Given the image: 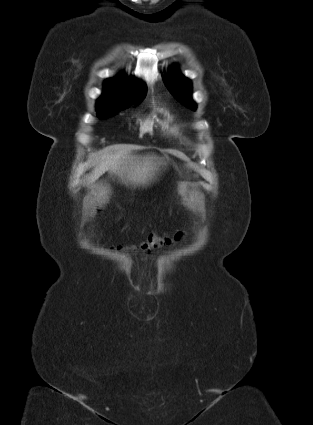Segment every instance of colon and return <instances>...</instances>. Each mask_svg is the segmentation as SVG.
<instances>
[{"label": "colon", "mask_w": 313, "mask_h": 425, "mask_svg": "<svg viewBox=\"0 0 313 425\" xmlns=\"http://www.w3.org/2000/svg\"><path fill=\"white\" fill-rule=\"evenodd\" d=\"M170 242L169 238L160 237L156 234H151L149 238L142 242L138 247H133V249H139L143 252H149L154 249H158ZM121 246L118 247L120 249Z\"/></svg>", "instance_id": "1"}]
</instances>
